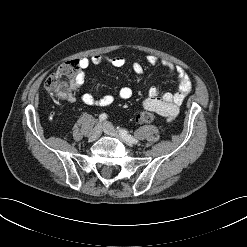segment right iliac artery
<instances>
[{
	"label": "right iliac artery",
	"instance_id": "right-iliac-artery-1",
	"mask_svg": "<svg viewBox=\"0 0 247 247\" xmlns=\"http://www.w3.org/2000/svg\"><path fill=\"white\" fill-rule=\"evenodd\" d=\"M106 119H107V115H106L105 113H103V114H101V115L99 116L100 122L105 121Z\"/></svg>",
	"mask_w": 247,
	"mask_h": 247
}]
</instances>
